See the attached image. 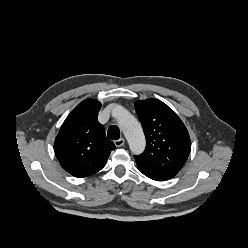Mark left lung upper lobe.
<instances>
[{
    "mask_svg": "<svg viewBox=\"0 0 248 248\" xmlns=\"http://www.w3.org/2000/svg\"><path fill=\"white\" fill-rule=\"evenodd\" d=\"M135 109L146 137L145 151L134 156L136 163L175 176L191 150L185 125L170 107L154 98L137 101Z\"/></svg>",
    "mask_w": 248,
    "mask_h": 248,
    "instance_id": "obj_1",
    "label": "left lung upper lobe"
}]
</instances>
